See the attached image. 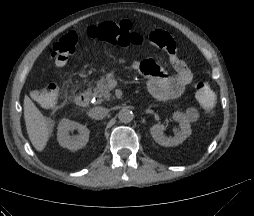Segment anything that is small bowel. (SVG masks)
Listing matches in <instances>:
<instances>
[{
  "instance_id": "c3829d8e",
  "label": "small bowel",
  "mask_w": 254,
  "mask_h": 216,
  "mask_svg": "<svg viewBox=\"0 0 254 216\" xmlns=\"http://www.w3.org/2000/svg\"><path fill=\"white\" fill-rule=\"evenodd\" d=\"M148 43L152 48L163 52L165 60L175 70V75L167 73L152 60L133 61L132 67L146 74L147 88L155 98L162 101L179 98L192 82L193 75L176 52L173 38L166 30H154L148 38Z\"/></svg>"
}]
</instances>
